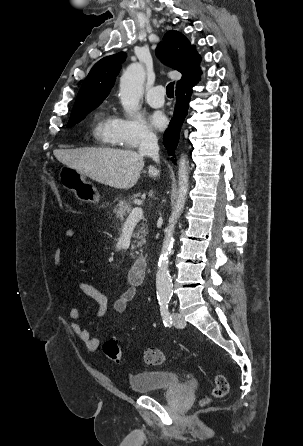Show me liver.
<instances>
[{
  "mask_svg": "<svg viewBox=\"0 0 303 446\" xmlns=\"http://www.w3.org/2000/svg\"><path fill=\"white\" fill-rule=\"evenodd\" d=\"M55 157L85 176L117 189H130L138 181L144 167V155L133 150L80 148L55 150ZM150 177L159 171L148 167Z\"/></svg>",
  "mask_w": 303,
  "mask_h": 446,
  "instance_id": "liver-1",
  "label": "liver"
}]
</instances>
